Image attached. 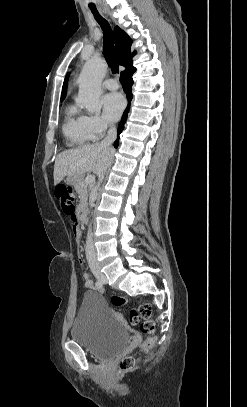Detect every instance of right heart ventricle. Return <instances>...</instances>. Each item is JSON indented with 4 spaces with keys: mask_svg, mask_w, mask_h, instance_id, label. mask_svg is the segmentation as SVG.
I'll return each mask as SVG.
<instances>
[{
    "mask_svg": "<svg viewBox=\"0 0 247 407\" xmlns=\"http://www.w3.org/2000/svg\"><path fill=\"white\" fill-rule=\"evenodd\" d=\"M63 134L70 146H83L93 140L86 116L75 105H69L65 109Z\"/></svg>",
    "mask_w": 247,
    "mask_h": 407,
    "instance_id": "right-heart-ventricle-1",
    "label": "right heart ventricle"
}]
</instances>
